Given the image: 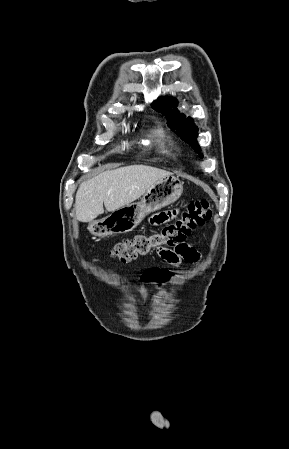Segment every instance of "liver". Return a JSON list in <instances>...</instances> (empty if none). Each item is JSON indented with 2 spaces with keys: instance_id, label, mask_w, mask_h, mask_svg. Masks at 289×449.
Instances as JSON below:
<instances>
[{
  "instance_id": "obj_1",
  "label": "liver",
  "mask_w": 289,
  "mask_h": 449,
  "mask_svg": "<svg viewBox=\"0 0 289 449\" xmlns=\"http://www.w3.org/2000/svg\"><path fill=\"white\" fill-rule=\"evenodd\" d=\"M172 175L146 165H131L106 171L80 184L75 198L76 218L91 222L140 198L155 182Z\"/></svg>"
}]
</instances>
